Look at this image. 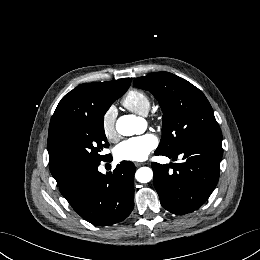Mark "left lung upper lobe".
Listing matches in <instances>:
<instances>
[{
	"instance_id": "1",
	"label": "left lung upper lobe",
	"mask_w": 260,
	"mask_h": 260,
	"mask_svg": "<svg viewBox=\"0 0 260 260\" xmlns=\"http://www.w3.org/2000/svg\"><path fill=\"white\" fill-rule=\"evenodd\" d=\"M150 91L163 111L162 138L156 151L173 152L198 142H221L222 133L205 95L190 82L169 72L134 80Z\"/></svg>"
}]
</instances>
